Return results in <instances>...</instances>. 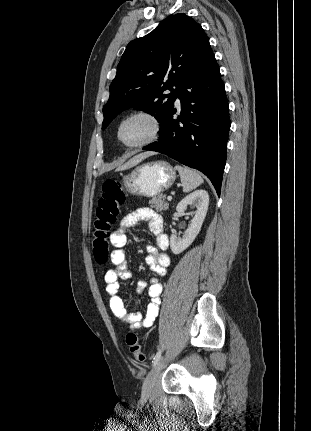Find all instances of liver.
Returning a JSON list of instances; mask_svg holds the SVG:
<instances>
[{
	"label": "liver",
	"mask_w": 311,
	"mask_h": 431,
	"mask_svg": "<svg viewBox=\"0 0 311 431\" xmlns=\"http://www.w3.org/2000/svg\"><path fill=\"white\" fill-rule=\"evenodd\" d=\"M153 152H144V154H138V156H133V158H130L128 162H125V164H120L118 166L117 170H129V168H134V166H137V164H140V162H143L145 158H149V156H152Z\"/></svg>",
	"instance_id": "liver-1"
}]
</instances>
